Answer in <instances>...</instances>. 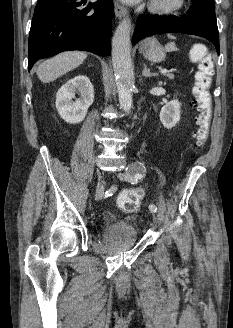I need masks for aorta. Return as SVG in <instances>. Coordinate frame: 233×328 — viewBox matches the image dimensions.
Returning a JSON list of instances; mask_svg holds the SVG:
<instances>
[{
    "label": "aorta",
    "instance_id": "1",
    "mask_svg": "<svg viewBox=\"0 0 233 328\" xmlns=\"http://www.w3.org/2000/svg\"><path fill=\"white\" fill-rule=\"evenodd\" d=\"M130 26V19H123L112 37V62L116 75L119 103L124 111H130L133 105L134 75L130 63Z\"/></svg>",
    "mask_w": 233,
    "mask_h": 328
}]
</instances>
